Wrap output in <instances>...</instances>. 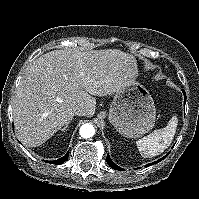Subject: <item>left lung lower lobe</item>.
<instances>
[{
  "label": "left lung lower lobe",
  "instance_id": "left-lung-lower-lobe-1",
  "mask_svg": "<svg viewBox=\"0 0 199 199\" xmlns=\"http://www.w3.org/2000/svg\"><path fill=\"white\" fill-rule=\"evenodd\" d=\"M183 93H184V95H185V92H184V91H183ZM185 96H186V95H185ZM166 157H167V155L164 156L163 158H161V159H159V160H157V161L151 163V164H148V166H149V165L156 164V163L162 161V160H163L164 158H166ZM107 163H108V165H109L111 168H113V169H115V170H123L122 168H120L119 166H117V165L111 160V158H110L109 155H107Z\"/></svg>",
  "mask_w": 199,
  "mask_h": 199
}]
</instances>
